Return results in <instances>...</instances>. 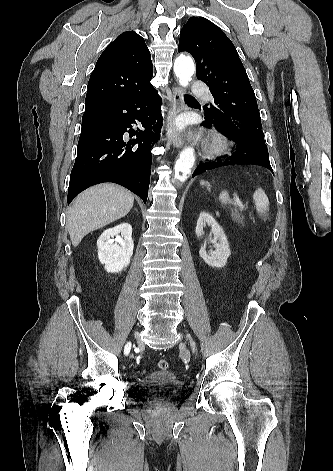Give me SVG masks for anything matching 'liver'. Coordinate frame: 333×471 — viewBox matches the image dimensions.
Listing matches in <instances>:
<instances>
[{"mask_svg": "<svg viewBox=\"0 0 333 471\" xmlns=\"http://www.w3.org/2000/svg\"><path fill=\"white\" fill-rule=\"evenodd\" d=\"M134 203L126 188L104 183L88 188L73 201L67 214V228L74 247L88 233L127 215Z\"/></svg>", "mask_w": 333, "mask_h": 471, "instance_id": "obj_1", "label": "liver"}]
</instances>
